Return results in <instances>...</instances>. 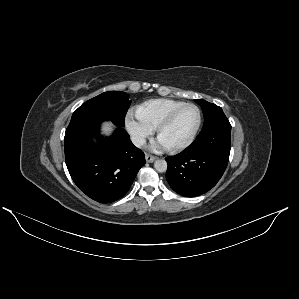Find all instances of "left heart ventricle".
Returning <instances> with one entry per match:
<instances>
[{"label":"left heart ventricle","instance_id":"b2bd125f","mask_svg":"<svg viewBox=\"0 0 299 299\" xmlns=\"http://www.w3.org/2000/svg\"><path fill=\"white\" fill-rule=\"evenodd\" d=\"M198 112L194 107L182 109L161 133L160 139L167 146H174L186 141L196 127Z\"/></svg>","mask_w":299,"mask_h":299}]
</instances>
